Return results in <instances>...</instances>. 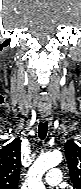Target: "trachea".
I'll return each instance as SVG.
<instances>
[{
  "mask_svg": "<svg viewBox=\"0 0 81 189\" xmlns=\"http://www.w3.org/2000/svg\"><path fill=\"white\" fill-rule=\"evenodd\" d=\"M48 131V122H40L39 127H38V136L41 140H44Z\"/></svg>",
  "mask_w": 81,
  "mask_h": 189,
  "instance_id": "1",
  "label": "trachea"
}]
</instances>
